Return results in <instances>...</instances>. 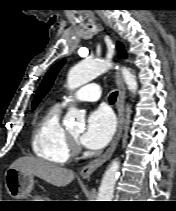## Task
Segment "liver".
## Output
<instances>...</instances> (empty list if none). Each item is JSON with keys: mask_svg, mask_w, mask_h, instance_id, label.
Here are the masks:
<instances>
[{"mask_svg": "<svg viewBox=\"0 0 176 211\" xmlns=\"http://www.w3.org/2000/svg\"><path fill=\"white\" fill-rule=\"evenodd\" d=\"M10 168L37 176L57 187H64L70 184L75 176L70 169L31 156L18 158L11 164Z\"/></svg>", "mask_w": 176, "mask_h": 211, "instance_id": "liver-1", "label": "liver"}]
</instances>
